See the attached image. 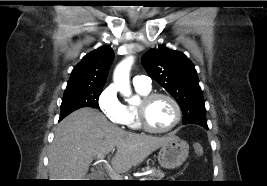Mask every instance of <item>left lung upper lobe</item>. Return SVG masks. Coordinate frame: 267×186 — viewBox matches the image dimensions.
<instances>
[{
    "mask_svg": "<svg viewBox=\"0 0 267 186\" xmlns=\"http://www.w3.org/2000/svg\"><path fill=\"white\" fill-rule=\"evenodd\" d=\"M149 76L179 103L183 124L207 126L206 109L197 72L185 54L165 46L148 50L142 57Z\"/></svg>",
    "mask_w": 267,
    "mask_h": 186,
    "instance_id": "5c2ea615",
    "label": "left lung upper lobe"
}]
</instances>
